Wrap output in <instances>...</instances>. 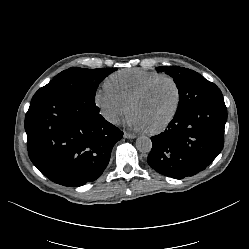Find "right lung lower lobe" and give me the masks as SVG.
Segmentation results:
<instances>
[{
	"label": "right lung lower lobe",
	"instance_id": "1",
	"mask_svg": "<svg viewBox=\"0 0 249 249\" xmlns=\"http://www.w3.org/2000/svg\"><path fill=\"white\" fill-rule=\"evenodd\" d=\"M25 130L33 164L51 181L71 187L96 180L123 136L95 104L71 96L31 102Z\"/></svg>",
	"mask_w": 249,
	"mask_h": 249
}]
</instances>
